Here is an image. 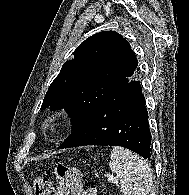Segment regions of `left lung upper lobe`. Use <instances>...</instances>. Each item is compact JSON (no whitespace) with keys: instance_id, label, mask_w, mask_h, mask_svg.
I'll use <instances>...</instances> for the list:
<instances>
[{"instance_id":"left-lung-upper-lobe-1","label":"left lung upper lobe","mask_w":189,"mask_h":195,"mask_svg":"<svg viewBox=\"0 0 189 195\" xmlns=\"http://www.w3.org/2000/svg\"><path fill=\"white\" fill-rule=\"evenodd\" d=\"M73 55L51 83L41 109H64L76 130L109 96L133 81L138 61L130 44L114 31L87 38Z\"/></svg>"}]
</instances>
